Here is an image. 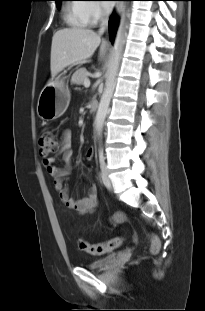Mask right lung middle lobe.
I'll return each instance as SVG.
<instances>
[{
	"label": "right lung middle lobe",
	"instance_id": "right-lung-middle-lobe-1",
	"mask_svg": "<svg viewBox=\"0 0 205 311\" xmlns=\"http://www.w3.org/2000/svg\"><path fill=\"white\" fill-rule=\"evenodd\" d=\"M55 1H56L57 7H59V3H60V1H62V0H55Z\"/></svg>",
	"mask_w": 205,
	"mask_h": 311
}]
</instances>
